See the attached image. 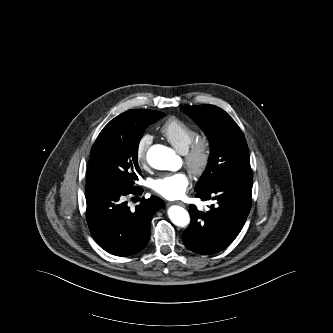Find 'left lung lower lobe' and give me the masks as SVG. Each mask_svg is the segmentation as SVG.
<instances>
[{
  "label": "left lung lower lobe",
  "instance_id": "left-lung-lower-lobe-1",
  "mask_svg": "<svg viewBox=\"0 0 333 333\" xmlns=\"http://www.w3.org/2000/svg\"><path fill=\"white\" fill-rule=\"evenodd\" d=\"M252 174L228 178L212 188L196 193L203 201L217 204L206 213L189 206L191 223L183 233L185 246L207 255L228 247L240 233L251 208Z\"/></svg>",
  "mask_w": 333,
  "mask_h": 333
}]
</instances>
